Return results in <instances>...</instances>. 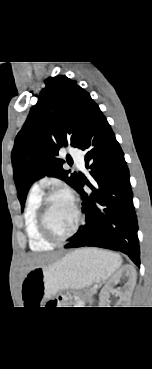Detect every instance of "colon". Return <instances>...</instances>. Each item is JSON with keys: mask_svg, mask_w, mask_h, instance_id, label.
Wrapping results in <instances>:
<instances>
[{"mask_svg": "<svg viewBox=\"0 0 152 369\" xmlns=\"http://www.w3.org/2000/svg\"><path fill=\"white\" fill-rule=\"evenodd\" d=\"M68 301V298L66 296H60L56 302H53V304L57 303H66Z\"/></svg>", "mask_w": 152, "mask_h": 369, "instance_id": "obj_1", "label": "colon"}]
</instances>
